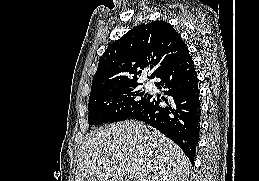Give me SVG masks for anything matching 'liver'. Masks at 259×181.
<instances>
[{"label": "liver", "mask_w": 259, "mask_h": 181, "mask_svg": "<svg viewBox=\"0 0 259 181\" xmlns=\"http://www.w3.org/2000/svg\"><path fill=\"white\" fill-rule=\"evenodd\" d=\"M190 162L177 144L138 121L94 131L80 147L75 181H187Z\"/></svg>", "instance_id": "1"}]
</instances>
